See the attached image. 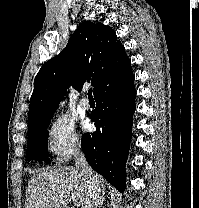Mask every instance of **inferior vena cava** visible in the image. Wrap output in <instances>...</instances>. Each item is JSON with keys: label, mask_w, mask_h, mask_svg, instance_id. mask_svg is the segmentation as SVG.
Listing matches in <instances>:
<instances>
[{"label": "inferior vena cava", "mask_w": 199, "mask_h": 208, "mask_svg": "<svg viewBox=\"0 0 199 208\" xmlns=\"http://www.w3.org/2000/svg\"><path fill=\"white\" fill-rule=\"evenodd\" d=\"M75 167L81 171L89 184V196L85 202L84 208H100L103 202V194L97 176L87 163L84 153L80 151V149L76 150Z\"/></svg>", "instance_id": "602c4592"}]
</instances>
